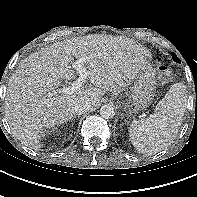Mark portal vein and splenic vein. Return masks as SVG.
Returning <instances> with one entry per match:
<instances>
[{
	"instance_id": "1",
	"label": "portal vein and splenic vein",
	"mask_w": 197,
	"mask_h": 197,
	"mask_svg": "<svg viewBox=\"0 0 197 197\" xmlns=\"http://www.w3.org/2000/svg\"><path fill=\"white\" fill-rule=\"evenodd\" d=\"M88 59V57H82L72 63V67L78 71L79 77L70 86L57 90V93L71 95L84 85L87 77L90 75V72L84 67V63L88 61Z\"/></svg>"
}]
</instances>
